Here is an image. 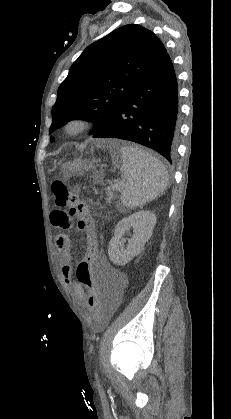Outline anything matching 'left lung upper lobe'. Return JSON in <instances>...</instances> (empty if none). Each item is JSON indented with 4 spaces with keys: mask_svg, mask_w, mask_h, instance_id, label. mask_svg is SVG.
Here are the masks:
<instances>
[{
    "mask_svg": "<svg viewBox=\"0 0 231 419\" xmlns=\"http://www.w3.org/2000/svg\"><path fill=\"white\" fill-rule=\"evenodd\" d=\"M166 54L153 32L135 24L122 26L89 45L58 88L49 134L80 118L94 122L92 135L100 132L135 84Z\"/></svg>",
    "mask_w": 231,
    "mask_h": 419,
    "instance_id": "obj_1",
    "label": "left lung upper lobe"
}]
</instances>
